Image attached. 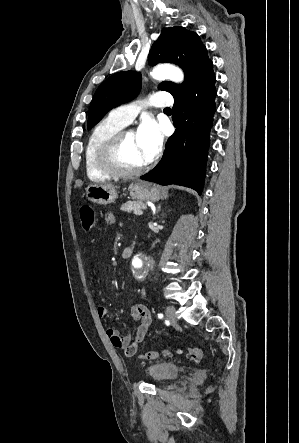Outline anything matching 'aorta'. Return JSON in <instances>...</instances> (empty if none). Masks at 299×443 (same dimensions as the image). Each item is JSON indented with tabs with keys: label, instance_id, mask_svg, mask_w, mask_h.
I'll return each instance as SVG.
<instances>
[{
	"label": "aorta",
	"instance_id": "1",
	"mask_svg": "<svg viewBox=\"0 0 299 443\" xmlns=\"http://www.w3.org/2000/svg\"><path fill=\"white\" fill-rule=\"evenodd\" d=\"M151 76L156 80L169 79L173 82L180 83L184 79L183 72L172 65H159L153 69ZM146 260L141 255H136L133 257L132 265L134 268L140 269L144 266Z\"/></svg>",
	"mask_w": 299,
	"mask_h": 443
}]
</instances>
